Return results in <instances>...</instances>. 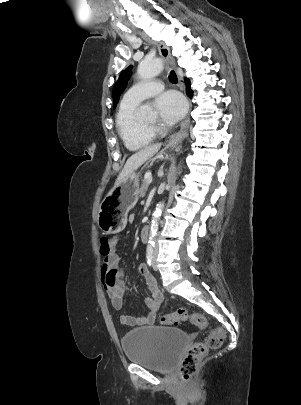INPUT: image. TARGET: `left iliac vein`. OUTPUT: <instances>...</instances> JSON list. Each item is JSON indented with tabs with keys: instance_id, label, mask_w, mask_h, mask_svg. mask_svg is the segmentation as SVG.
I'll return each instance as SVG.
<instances>
[{
	"instance_id": "obj_1",
	"label": "left iliac vein",
	"mask_w": 301,
	"mask_h": 405,
	"mask_svg": "<svg viewBox=\"0 0 301 405\" xmlns=\"http://www.w3.org/2000/svg\"><path fill=\"white\" fill-rule=\"evenodd\" d=\"M155 258H156V253H154L153 259H152V268L156 271L157 270V265H156Z\"/></svg>"
}]
</instances>
